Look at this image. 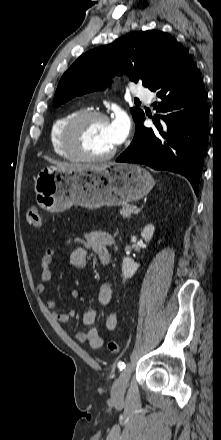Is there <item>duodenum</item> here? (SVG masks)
<instances>
[{"label":"duodenum","instance_id":"obj_1","mask_svg":"<svg viewBox=\"0 0 221 440\" xmlns=\"http://www.w3.org/2000/svg\"><path fill=\"white\" fill-rule=\"evenodd\" d=\"M109 261H110V260H109V259H107V260L105 261V264H108V263H109Z\"/></svg>","mask_w":221,"mask_h":440}]
</instances>
